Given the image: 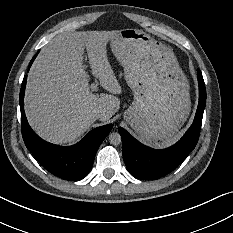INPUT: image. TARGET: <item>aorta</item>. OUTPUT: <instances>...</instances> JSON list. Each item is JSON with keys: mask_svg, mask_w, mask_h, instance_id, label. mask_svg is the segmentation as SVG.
I'll return each instance as SVG.
<instances>
[{"mask_svg": "<svg viewBox=\"0 0 233 233\" xmlns=\"http://www.w3.org/2000/svg\"><path fill=\"white\" fill-rule=\"evenodd\" d=\"M109 142L113 145H118L121 143V135L117 132L109 134Z\"/></svg>", "mask_w": 233, "mask_h": 233, "instance_id": "obj_1", "label": "aorta"}]
</instances>
